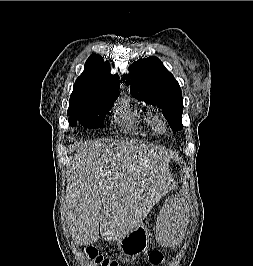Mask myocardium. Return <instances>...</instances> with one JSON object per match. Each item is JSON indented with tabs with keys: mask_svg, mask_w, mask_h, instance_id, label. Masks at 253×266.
Returning a JSON list of instances; mask_svg holds the SVG:
<instances>
[{
	"mask_svg": "<svg viewBox=\"0 0 253 266\" xmlns=\"http://www.w3.org/2000/svg\"><path fill=\"white\" fill-rule=\"evenodd\" d=\"M151 125L158 133H162L165 130V122L160 116H154L151 120Z\"/></svg>",
	"mask_w": 253,
	"mask_h": 266,
	"instance_id": "myocardium-1",
	"label": "myocardium"
}]
</instances>
